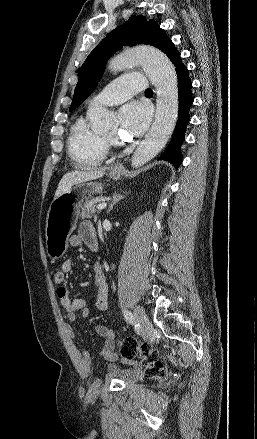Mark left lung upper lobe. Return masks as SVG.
Masks as SVG:
<instances>
[{
    "mask_svg": "<svg viewBox=\"0 0 257 439\" xmlns=\"http://www.w3.org/2000/svg\"><path fill=\"white\" fill-rule=\"evenodd\" d=\"M171 43L154 20L148 21L144 16L133 15L126 23L109 33L88 55L81 67L69 111L79 106L92 93L104 72L107 60L123 45L149 44L165 53Z\"/></svg>",
    "mask_w": 257,
    "mask_h": 439,
    "instance_id": "1",
    "label": "left lung upper lobe"
}]
</instances>
